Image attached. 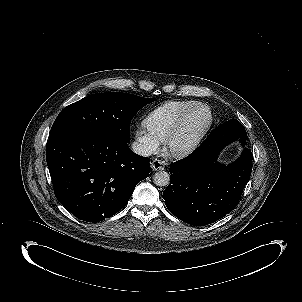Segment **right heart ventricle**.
Segmentation results:
<instances>
[{"mask_svg": "<svg viewBox=\"0 0 302 302\" xmlns=\"http://www.w3.org/2000/svg\"><path fill=\"white\" fill-rule=\"evenodd\" d=\"M192 101H171L154 110L145 120L150 134L163 139L179 117L195 106Z\"/></svg>", "mask_w": 302, "mask_h": 302, "instance_id": "e07e8e85", "label": "right heart ventricle"}]
</instances>
